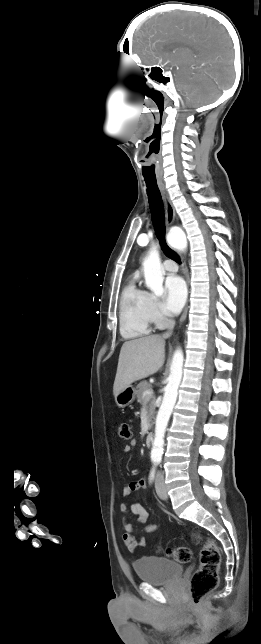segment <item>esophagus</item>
<instances>
[{
  "mask_svg": "<svg viewBox=\"0 0 261 644\" xmlns=\"http://www.w3.org/2000/svg\"><path fill=\"white\" fill-rule=\"evenodd\" d=\"M159 186H160V189H161L162 198H163L164 206H165L166 223H167V226H170V225L173 224V222L175 221V219L177 217L176 212H175V208H174L170 198L168 197V194L165 191L163 183L159 182ZM183 271H184V274H185L186 282L189 285L190 277H189L188 268H187V266L185 264H184ZM188 308H189V306H188V302H187L186 306H185V308L183 310V313L181 315V318H180L181 322L185 321V319L187 317V313H188Z\"/></svg>",
  "mask_w": 261,
  "mask_h": 644,
  "instance_id": "34e87169",
  "label": "esophagus"
}]
</instances>
